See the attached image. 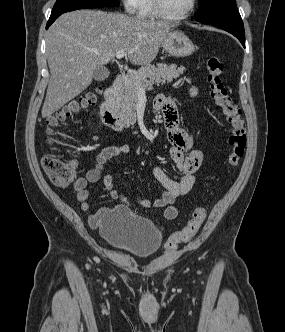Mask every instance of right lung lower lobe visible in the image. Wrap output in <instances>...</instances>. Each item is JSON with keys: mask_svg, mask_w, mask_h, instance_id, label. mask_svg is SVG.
Segmentation results:
<instances>
[{"mask_svg": "<svg viewBox=\"0 0 285 332\" xmlns=\"http://www.w3.org/2000/svg\"><path fill=\"white\" fill-rule=\"evenodd\" d=\"M62 13L51 14L49 21L47 23L46 29L61 15Z\"/></svg>", "mask_w": 285, "mask_h": 332, "instance_id": "right-lung-lower-lobe-1", "label": "right lung lower lobe"}]
</instances>
